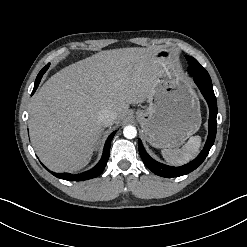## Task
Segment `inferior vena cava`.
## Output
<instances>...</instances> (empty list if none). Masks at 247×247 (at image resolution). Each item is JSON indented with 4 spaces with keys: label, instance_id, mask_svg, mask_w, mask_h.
Instances as JSON below:
<instances>
[{
    "label": "inferior vena cava",
    "instance_id": "602c4592",
    "mask_svg": "<svg viewBox=\"0 0 247 247\" xmlns=\"http://www.w3.org/2000/svg\"><path fill=\"white\" fill-rule=\"evenodd\" d=\"M116 119V115L111 110H102L98 116V121L102 127L111 126Z\"/></svg>",
    "mask_w": 247,
    "mask_h": 247
}]
</instances>
